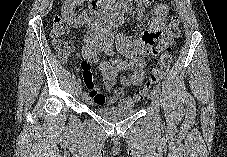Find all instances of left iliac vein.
I'll return each instance as SVG.
<instances>
[{"mask_svg": "<svg viewBox=\"0 0 227 157\" xmlns=\"http://www.w3.org/2000/svg\"><path fill=\"white\" fill-rule=\"evenodd\" d=\"M150 99L152 101L153 106L156 108V110L159 107V97H158V93H156L155 91H152L150 94Z\"/></svg>", "mask_w": 227, "mask_h": 157, "instance_id": "obj_1", "label": "left iliac vein"}]
</instances>
